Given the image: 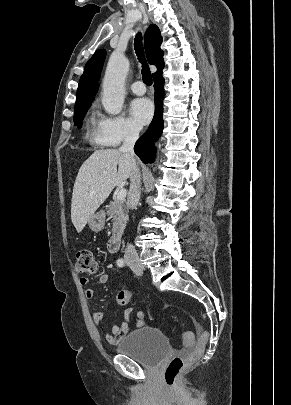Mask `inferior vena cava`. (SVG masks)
Listing matches in <instances>:
<instances>
[{
  "label": "inferior vena cava",
  "instance_id": "inferior-vena-cava-1",
  "mask_svg": "<svg viewBox=\"0 0 291 405\" xmlns=\"http://www.w3.org/2000/svg\"><path fill=\"white\" fill-rule=\"evenodd\" d=\"M139 137V130L137 128H129L126 132L122 146L120 147V152L127 153L133 159L132 168L130 173V190L127 198V204L129 208H134L140 199V186H141V174L136 162L133 158L134 156V145ZM124 258L126 261L137 262L139 260L137 251L135 248L128 244L125 249Z\"/></svg>",
  "mask_w": 291,
  "mask_h": 405
}]
</instances>
